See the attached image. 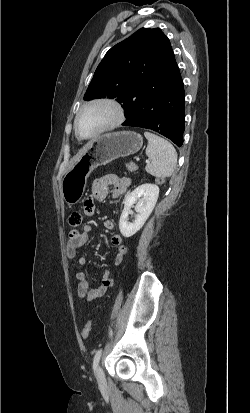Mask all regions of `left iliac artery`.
<instances>
[{"instance_id": "44dca946", "label": "left iliac artery", "mask_w": 250, "mask_h": 413, "mask_svg": "<svg viewBox=\"0 0 250 413\" xmlns=\"http://www.w3.org/2000/svg\"><path fill=\"white\" fill-rule=\"evenodd\" d=\"M101 353H102V349H99L96 352L95 356H94V360H93V369H94V371L97 369V366L99 364Z\"/></svg>"}]
</instances>
